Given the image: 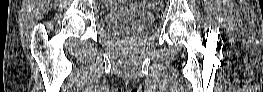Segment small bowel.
Masks as SVG:
<instances>
[{"mask_svg":"<svg viewBox=\"0 0 263 92\" xmlns=\"http://www.w3.org/2000/svg\"><path fill=\"white\" fill-rule=\"evenodd\" d=\"M123 4H126V5H128L129 3H123Z\"/></svg>","mask_w":263,"mask_h":92,"instance_id":"obj_1","label":"small bowel"}]
</instances>
